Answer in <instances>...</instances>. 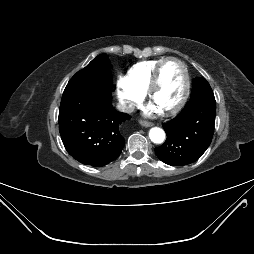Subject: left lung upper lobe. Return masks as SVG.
I'll return each mask as SVG.
<instances>
[{"mask_svg": "<svg viewBox=\"0 0 254 254\" xmlns=\"http://www.w3.org/2000/svg\"><path fill=\"white\" fill-rule=\"evenodd\" d=\"M190 102L199 103L203 101H215L213 91L205 78H194L192 81V92Z\"/></svg>", "mask_w": 254, "mask_h": 254, "instance_id": "5c2ea615", "label": "left lung upper lobe"}]
</instances>
